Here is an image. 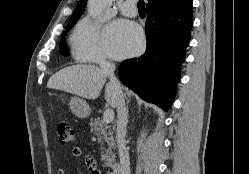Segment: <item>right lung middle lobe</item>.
Here are the masks:
<instances>
[{
	"label": "right lung middle lobe",
	"mask_w": 249,
	"mask_h": 174,
	"mask_svg": "<svg viewBox=\"0 0 249 174\" xmlns=\"http://www.w3.org/2000/svg\"><path fill=\"white\" fill-rule=\"evenodd\" d=\"M76 23L75 22H69L68 23V27H67V31ZM65 35L66 33L63 34V37L61 38V41H60V53L64 56H68V49H67V46H66V42H65Z\"/></svg>",
	"instance_id": "right-lung-middle-lobe-1"
}]
</instances>
